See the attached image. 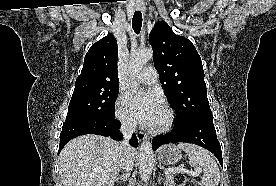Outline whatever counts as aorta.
<instances>
[{
    "instance_id": "762f6f07",
    "label": "aorta",
    "mask_w": 276,
    "mask_h": 186,
    "mask_svg": "<svg viewBox=\"0 0 276 186\" xmlns=\"http://www.w3.org/2000/svg\"><path fill=\"white\" fill-rule=\"evenodd\" d=\"M153 58L152 49H144L131 54L128 71L130 74L129 86L131 89L138 87L136 75L142 70L144 65ZM138 166L143 181H148L153 170V149L149 140L141 143L139 150Z\"/></svg>"
}]
</instances>
